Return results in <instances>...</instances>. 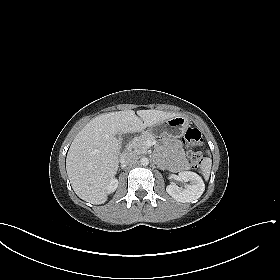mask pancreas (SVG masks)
Returning a JSON list of instances; mask_svg holds the SVG:
<instances>
[{
    "label": "pancreas",
    "instance_id": "cf45deb5",
    "mask_svg": "<svg viewBox=\"0 0 280 280\" xmlns=\"http://www.w3.org/2000/svg\"><path fill=\"white\" fill-rule=\"evenodd\" d=\"M155 137L149 133L144 132L139 137H136L132 140L130 147L133 149V152L136 154H146L147 153V146L146 141L147 140H154Z\"/></svg>",
    "mask_w": 280,
    "mask_h": 280
}]
</instances>
